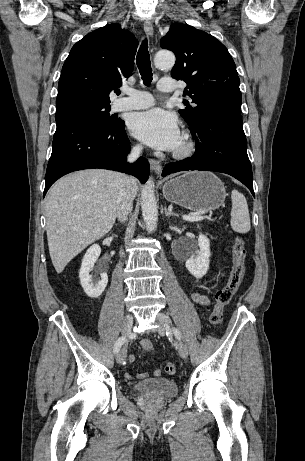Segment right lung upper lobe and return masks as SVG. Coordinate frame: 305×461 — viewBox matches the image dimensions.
<instances>
[{
  "label": "right lung upper lobe",
  "mask_w": 305,
  "mask_h": 461,
  "mask_svg": "<svg viewBox=\"0 0 305 461\" xmlns=\"http://www.w3.org/2000/svg\"><path fill=\"white\" fill-rule=\"evenodd\" d=\"M138 41L118 23L101 27L71 49L58 84V107L110 103L109 93L131 75Z\"/></svg>",
  "instance_id": "cb5924a9"
}]
</instances>
